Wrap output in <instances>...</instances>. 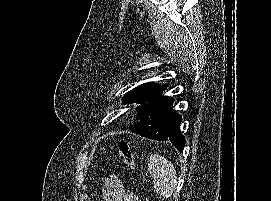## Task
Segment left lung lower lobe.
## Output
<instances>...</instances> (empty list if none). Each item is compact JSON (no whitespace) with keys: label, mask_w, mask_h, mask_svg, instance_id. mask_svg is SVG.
Listing matches in <instances>:
<instances>
[{"label":"left lung lower lobe","mask_w":271,"mask_h":201,"mask_svg":"<svg viewBox=\"0 0 271 201\" xmlns=\"http://www.w3.org/2000/svg\"><path fill=\"white\" fill-rule=\"evenodd\" d=\"M181 120V115L174 112L168 134L159 141H170L180 152H183L185 138L180 131ZM130 130L140 135V128L136 127L135 125L130 126Z\"/></svg>","instance_id":"obj_1"}]
</instances>
